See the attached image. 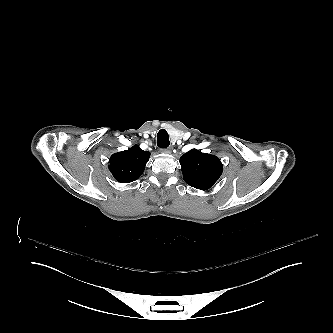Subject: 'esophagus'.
<instances>
[{"mask_svg": "<svg viewBox=\"0 0 333 333\" xmlns=\"http://www.w3.org/2000/svg\"><path fill=\"white\" fill-rule=\"evenodd\" d=\"M162 152H164L165 154H171L172 149L170 147H168V148L163 149Z\"/></svg>", "mask_w": 333, "mask_h": 333, "instance_id": "obj_1", "label": "esophagus"}]
</instances>
